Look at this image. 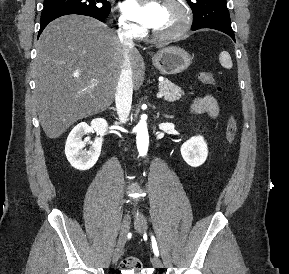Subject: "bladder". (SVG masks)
Masks as SVG:
<instances>
[{"instance_id":"obj_1","label":"bladder","mask_w":289,"mask_h":274,"mask_svg":"<svg viewBox=\"0 0 289 274\" xmlns=\"http://www.w3.org/2000/svg\"><path fill=\"white\" fill-rule=\"evenodd\" d=\"M121 274H142L140 271H123Z\"/></svg>"}]
</instances>
